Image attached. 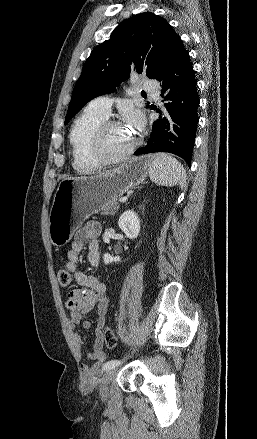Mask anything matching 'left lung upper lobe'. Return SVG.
Wrapping results in <instances>:
<instances>
[{"label":"left lung upper lobe","instance_id":"5c2ea615","mask_svg":"<svg viewBox=\"0 0 257 439\" xmlns=\"http://www.w3.org/2000/svg\"><path fill=\"white\" fill-rule=\"evenodd\" d=\"M179 36L152 12L122 21L110 39L96 46L73 89L65 124L93 98L111 93L130 73L146 72L157 79L166 67Z\"/></svg>","mask_w":257,"mask_h":439}]
</instances>
